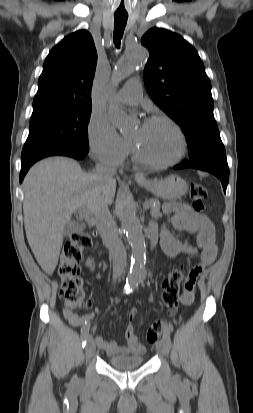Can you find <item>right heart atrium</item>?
<instances>
[{
    "mask_svg": "<svg viewBox=\"0 0 253 413\" xmlns=\"http://www.w3.org/2000/svg\"><path fill=\"white\" fill-rule=\"evenodd\" d=\"M90 154L96 161L107 165H118L130 152L129 143L124 140L109 122L98 115H92L88 124Z\"/></svg>",
    "mask_w": 253,
    "mask_h": 413,
    "instance_id": "1",
    "label": "right heart atrium"
}]
</instances>
